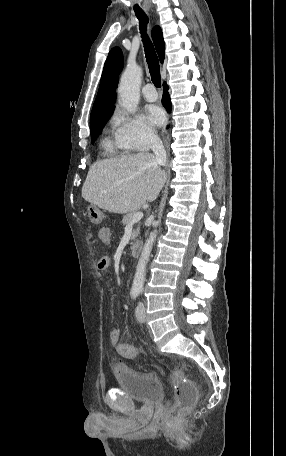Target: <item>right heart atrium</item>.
<instances>
[{"mask_svg":"<svg viewBox=\"0 0 286 456\" xmlns=\"http://www.w3.org/2000/svg\"><path fill=\"white\" fill-rule=\"evenodd\" d=\"M114 122L119 136L131 149L147 150L158 139L156 131L141 116L117 111Z\"/></svg>","mask_w":286,"mask_h":456,"instance_id":"right-heart-atrium-1","label":"right heart atrium"}]
</instances>
